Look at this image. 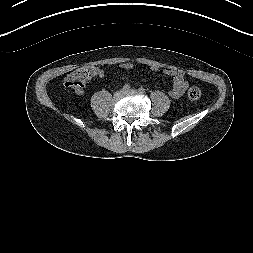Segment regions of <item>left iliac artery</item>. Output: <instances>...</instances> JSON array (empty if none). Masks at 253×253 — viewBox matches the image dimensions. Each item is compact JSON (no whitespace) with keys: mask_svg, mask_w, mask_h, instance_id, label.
<instances>
[{"mask_svg":"<svg viewBox=\"0 0 253 253\" xmlns=\"http://www.w3.org/2000/svg\"><path fill=\"white\" fill-rule=\"evenodd\" d=\"M138 91H139L140 94H145L146 93L145 89L142 88V87L139 88Z\"/></svg>","mask_w":253,"mask_h":253,"instance_id":"obj_1","label":"left iliac artery"}]
</instances>
